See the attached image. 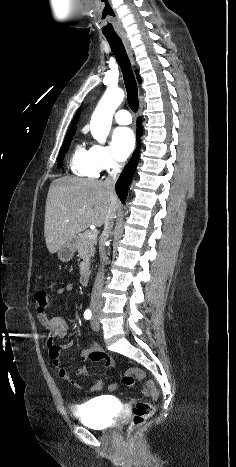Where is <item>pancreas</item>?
Segmentation results:
<instances>
[{"label": "pancreas", "mask_w": 236, "mask_h": 467, "mask_svg": "<svg viewBox=\"0 0 236 467\" xmlns=\"http://www.w3.org/2000/svg\"><path fill=\"white\" fill-rule=\"evenodd\" d=\"M97 244L96 238H88V232L79 234L75 238V247L82 259L80 263V274L84 275L88 272L91 258L95 254V245Z\"/></svg>", "instance_id": "obj_1"}]
</instances>
